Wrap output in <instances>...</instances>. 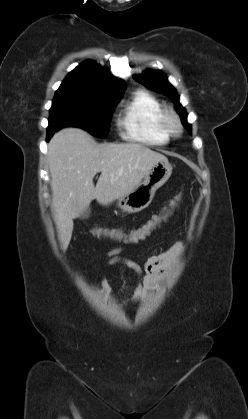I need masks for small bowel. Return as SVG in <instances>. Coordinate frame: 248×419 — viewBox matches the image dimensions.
Listing matches in <instances>:
<instances>
[{
  "label": "small bowel",
  "instance_id": "1",
  "mask_svg": "<svg viewBox=\"0 0 248 419\" xmlns=\"http://www.w3.org/2000/svg\"><path fill=\"white\" fill-rule=\"evenodd\" d=\"M145 224L137 229L131 230L125 234V240L129 242H138L144 240L152 231L145 232ZM185 249L183 242H176L167 251L146 258L143 268H141L134 261L121 256L123 248L112 249L107 254L106 266H113L116 264H124L132 269L140 278L134 295L128 302H140L147 298V296L156 291L161 280L166 277L176 261L181 257ZM110 291V286L106 278L102 279L100 292L107 294Z\"/></svg>",
  "mask_w": 248,
  "mask_h": 419
}]
</instances>
